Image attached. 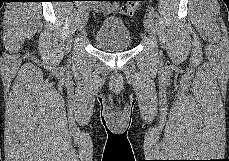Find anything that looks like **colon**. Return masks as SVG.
<instances>
[{"label": "colon", "instance_id": "1", "mask_svg": "<svg viewBox=\"0 0 229 161\" xmlns=\"http://www.w3.org/2000/svg\"><path fill=\"white\" fill-rule=\"evenodd\" d=\"M138 3H139V0L127 1L122 6V13L126 16H132L138 8V5H139Z\"/></svg>", "mask_w": 229, "mask_h": 161}]
</instances>
